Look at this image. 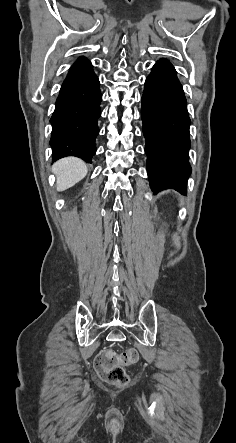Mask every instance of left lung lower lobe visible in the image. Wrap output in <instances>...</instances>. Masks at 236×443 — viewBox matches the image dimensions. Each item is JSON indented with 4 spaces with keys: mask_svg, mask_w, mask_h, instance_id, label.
I'll list each match as a JSON object with an SVG mask.
<instances>
[{
    "mask_svg": "<svg viewBox=\"0 0 236 443\" xmlns=\"http://www.w3.org/2000/svg\"><path fill=\"white\" fill-rule=\"evenodd\" d=\"M141 118L146 139L147 171L154 193L172 188L187 194L190 118L176 70L165 59L147 77Z\"/></svg>",
    "mask_w": 236,
    "mask_h": 443,
    "instance_id": "left-lung-lower-lobe-1",
    "label": "left lung lower lobe"
}]
</instances>
